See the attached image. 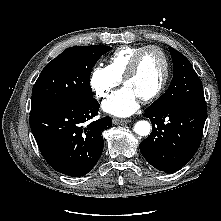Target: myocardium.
I'll return each instance as SVG.
<instances>
[{
    "instance_id": "obj_1",
    "label": "myocardium",
    "mask_w": 221,
    "mask_h": 221,
    "mask_svg": "<svg viewBox=\"0 0 221 221\" xmlns=\"http://www.w3.org/2000/svg\"><path fill=\"white\" fill-rule=\"evenodd\" d=\"M151 50L158 51L162 56L163 65H164L163 75H162L159 85L154 90V92H152L150 95L141 99V102H143V103H149V102H152L155 99H157L162 94V92L164 91V89L167 85V82L169 80V75H170V66H169L168 56L165 53V51L156 45H148V46L140 49L132 58L126 72L124 73V75L122 77V83L125 85V82L128 79H130L137 72L140 60L143 57V55Z\"/></svg>"
}]
</instances>
